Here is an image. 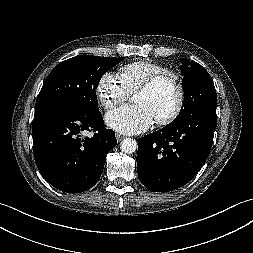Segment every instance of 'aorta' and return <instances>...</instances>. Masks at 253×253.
I'll list each match as a JSON object with an SVG mask.
<instances>
[{
  "label": "aorta",
  "mask_w": 253,
  "mask_h": 253,
  "mask_svg": "<svg viewBox=\"0 0 253 253\" xmlns=\"http://www.w3.org/2000/svg\"><path fill=\"white\" fill-rule=\"evenodd\" d=\"M120 149L127 154L134 153L137 150V142L131 138H126L121 142Z\"/></svg>",
  "instance_id": "762f6f07"
}]
</instances>
